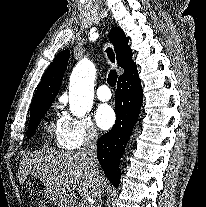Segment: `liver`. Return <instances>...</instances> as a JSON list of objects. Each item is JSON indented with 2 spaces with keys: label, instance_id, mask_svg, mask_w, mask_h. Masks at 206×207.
I'll return each instance as SVG.
<instances>
[{
  "label": "liver",
  "instance_id": "obj_1",
  "mask_svg": "<svg viewBox=\"0 0 206 207\" xmlns=\"http://www.w3.org/2000/svg\"><path fill=\"white\" fill-rule=\"evenodd\" d=\"M28 174L38 178L46 186L47 196L58 207L73 203L72 191L78 187L82 198H94L93 175L80 152L39 150L23 157L18 171L20 182ZM102 187L105 177L101 176Z\"/></svg>",
  "mask_w": 206,
  "mask_h": 207
}]
</instances>
